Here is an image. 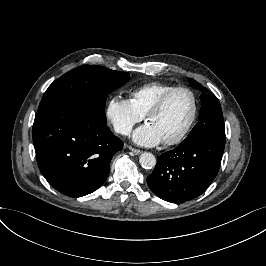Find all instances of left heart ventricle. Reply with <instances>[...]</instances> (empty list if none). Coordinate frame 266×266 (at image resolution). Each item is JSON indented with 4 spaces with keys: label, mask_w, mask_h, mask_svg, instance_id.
Returning a JSON list of instances; mask_svg holds the SVG:
<instances>
[{
    "label": "left heart ventricle",
    "mask_w": 266,
    "mask_h": 266,
    "mask_svg": "<svg viewBox=\"0 0 266 266\" xmlns=\"http://www.w3.org/2000/svg\"><path fill=\"white\" fill-rule=\"evenodd\" d=\"M193 113V101L185 91L175 92L163 110L148 118L160 133L163 141L176 138L189 122Z\"/></svg>",
    "instance_id": "1"
}]
</instances>
